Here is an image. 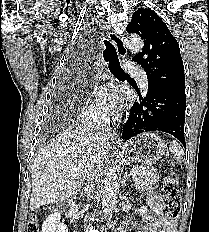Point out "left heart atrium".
<instances>
[{
	"label": "left heart atrium",
	"instance_id": "obj_1",
	"mask_svg": "<svg viewBox=\"0 0 209 232\" xmlns=\"http://www.w3.org/2000/svg\"><path fill=\"white\" fill-rule=\"evenodd\" d=\"M96 99L99 108L106 114L112 112L116 108L117 97L114 89L111 87L99 89L96 93Z\"/></svg>",
	"mask_w": 209,
	"mask_h": 232
}]
</instances>
